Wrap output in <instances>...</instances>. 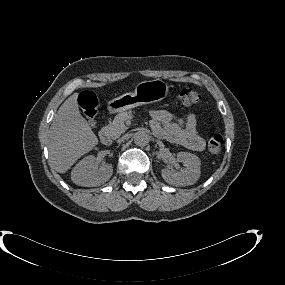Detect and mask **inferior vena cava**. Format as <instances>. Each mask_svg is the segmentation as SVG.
Here are the masks:
<instances>
[{
	"mask_svg": "<svg viewBox=\"0 0 285 285\" xmlns=\"http://www.w3.org/2000/svg\"><path fill=\"white\" fill-rule=\"evenodd\" d=\"M128 141V136L126 134H121L119 136V140L117 141L118 143H126Z\"/></svg>",
	"mask_w": 285,
	"mask_h": 285,
	"instance_id": "obj_1",
	"label": "inferior vena cava"
}]
</instances>
